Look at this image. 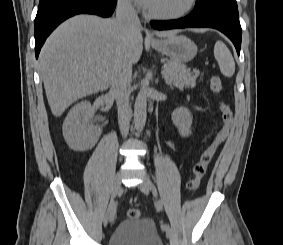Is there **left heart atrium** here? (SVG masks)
Wrapping results in <instances>:
<instances>
[{
	"mask_svg": "<svg viewBox=\"0 0 283 245\" xmlns=\"http://www.w3.org/2000/svg\"><path fill=\"white\" fill-rule=\"evenodd\" d=\"M136 3H138L139 5L147 8L151 2V0H135Z\"/></svg>",
	"mask_w": 283,
	"mask_h": 245,
	"instance_id": "1",
	"label": "left heart atrium"
}]
</instances>
